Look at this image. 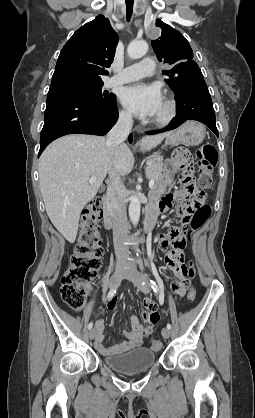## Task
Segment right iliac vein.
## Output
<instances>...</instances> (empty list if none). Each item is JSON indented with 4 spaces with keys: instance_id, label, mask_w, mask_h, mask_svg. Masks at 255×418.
<instances>
[{
    "instance_id": "1",
    "label": "right iliac vein",
    "mask_w": 255,
    "mask_h": 418,
    "mask_svg": "<svg viewBox=\"0 0 255 418\" xmlns=\"http://www.w3.org/2000/svg\"><path fill=\"white\" fill-rule=\"evenodd\" d=\"M125 272L123 269L119 268L116 269L115 272L113 273V275L110 277L109 282H108V286L110 288H115L118 286V284L121 282L123 276H124ZM89 338L91 340L94 339L95 337V330L94 329H90L89 333Z\"/></svg>"
}]
</instances>
